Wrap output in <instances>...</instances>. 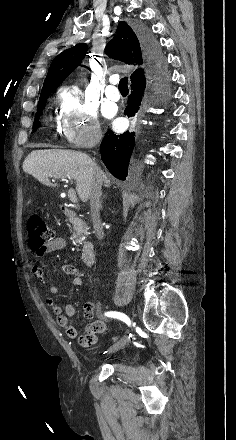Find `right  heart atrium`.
<instances>
[{"label": "right heart atrium", "instance_id": "obj_1", "mask_svg": "<svg viewBox=\"0 0 236 440\" xmlns=\"http://www.w3.org/2000/svg\"><path fill=\"white\" fill-rule=\"evenodd\" d=\"M57 117L62 137L73 147H92L101 141L97 109L78 88L59 90Z\"/></svg>", "mask_w": 236, "mask_h": 440}]
</instances>
